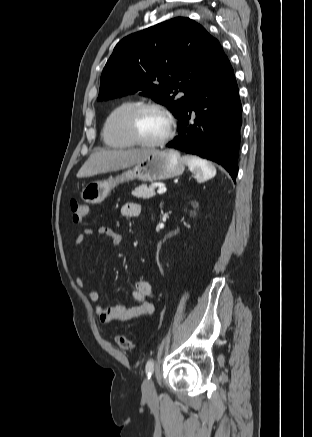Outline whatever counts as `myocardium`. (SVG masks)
<instances>
[{"label": "myocardium", "mask_w": 312, "mask_h": 437, "mask_svg": "<svg viewBox=\"0 0 312 437\" xmlns=\"http://www.w3.org/2000/svg\"><path fill=\"white\" fill-rule=\"evenodd\" d=\"M145 110H154L161 113L168 122V129L166 134L155 141H147L141 138L137 130V118ZM175 120L172 114L162 105L154 102H143L135 104L126 114L125 129L129 138L137 145L143 147H159L168 143L175 133Z\"/></svg>", "instance_id": "obj_1"}]
</instances>
